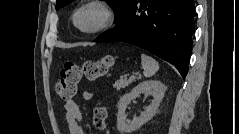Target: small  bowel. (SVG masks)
Returning <instances> with one entry per match:
<instances>
[{
	"instance_id": "c3829d8e",
	"label": "small bowel",
	"mask_w": 239,
	"mask_h": 134,
	"mask_svg": "<svg viewBox=\"0 0 239 134\" xmlns=\"http://www.w3.org/2000/svg\"><path fill=\"white\" fill-rule=\"evenodd\" d=\"M83 97L85 99H91L93 97V92L84 91ZM64 110L66 119L69 124V130L71 134H86L88 125L85 122L83 114L80 110L78 103L74 100H68L64 104Z\"/></svg>"
}]
</instances>
